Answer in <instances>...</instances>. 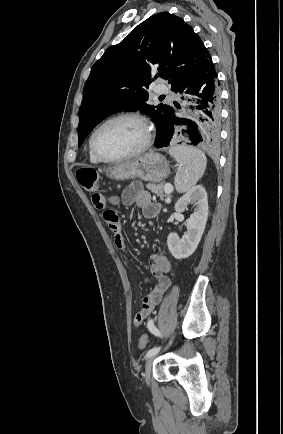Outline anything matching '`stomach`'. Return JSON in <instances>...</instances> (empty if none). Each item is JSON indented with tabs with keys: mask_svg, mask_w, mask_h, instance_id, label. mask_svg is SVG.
<instances>
[{
	"mask_svg": "<svg viewBox=\"0 0 283 434\" xmlns=\"http://www.w3.org/2000/svg\"><path fill=\"white\" fill-rule=\"evenodd\" d=\"M169 164L165 157L156 152H148L134 160L116 164L106 170V175L114 180L140 178L151 183H160L169 176Z\"/></svg>",
	"mask_w": 283,
	"mask_h": 434,
	"instance_id": "0dacf381",
	"label": "stomach"
}]
</instances>
